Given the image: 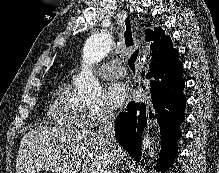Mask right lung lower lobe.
<instances>
[{"label":"right lung lower lobe","mask_w":219,"mask_h":173,"mask_svg":"<svg viewBox=\"0 0 219 173\" xmlns=\"http://www.w3.org/2000/svg\"><path fill=\"white\" fill-rule=\"evenodd\" d=\"M182 71L178 52L160 57L156 62L152 59L150 71L145 75L149 89L144 99L129 102L115 123L117 140L136 161L141 158L139 142L147 120L157 123L160 151L155 168L163 172L172 166L178 155L180 125L185 119Z\"/></svg>","instance_id":"1"}]
</instances>
